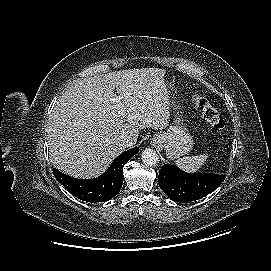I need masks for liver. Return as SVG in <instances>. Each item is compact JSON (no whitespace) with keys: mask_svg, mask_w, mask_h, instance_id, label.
<instances>
[{"mask_svg":"<svg viewBox=\"0 0 271 271\" xmlns=\"http://www.w3.org/2000/svg\"><path fill=\"white\" fill-rule=\"evenodd\" d=\"M165 73L158 68L120 70L69 86L57 99L47 124L52 163L72 177H97L123 151L118 145L121 136L129 135L135 144L139 130L167 127L170 104ZM115 88L120 103L114 101Z\"/></svg>","mask_w":271,"mask_h":271,"instance_id":"1","label":"liver"}]
</instances>
